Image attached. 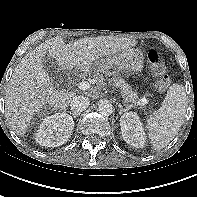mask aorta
Listing matches in <instances>:
<instances>
[{
  "label": "aorta",
  "mask_w": 197,
  "mask_h": 197,
  "mask_svg": "<svg viewBox=\"0 0 197 197\" xmlns=\"http://www.w3.org/2000/svg\"><path fill=\"white\" fill-rule=\"evenodd\" d=\"M98 111L103 116H110L113 113V105L108 100H103L98 105Z\"/></svg>",
  "instance_id": "obj_1"
}]
</instances>
